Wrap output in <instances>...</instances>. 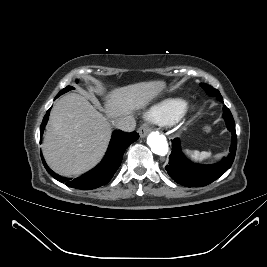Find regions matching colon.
I'll use <instances>...</instances> for the list:
<instances>
[{
	"label": "colon",
	"instance_id": "colon-1",
	"mask_svg": "<svg viewBox=\"0 0 267 267\" xmlns=\"http://www.w3.org/2000/svg\"><path fill=\"white\" fill-rule=\"evenodd\" d=\"M209 130H210V128H209V127H206V128H205V131H207V132H208Z\"/></svg>",
	"mask_w": 267,
	"mask_h": 267
}]
</instances>
